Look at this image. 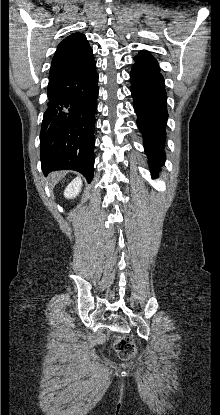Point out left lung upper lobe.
Segmentation results:
<instances>
[{
    "mask_svg": "<svg viewBox=\"0 0 220 415\" xmlns=\"http://www.w3.org/2000/svg\"><path fill=\"white\" fill-rule=\"evenodd\" d=\"M138 55H149V56H152L147 51H141Z\"/></svg>",
    "mask_w": 220,
    "mask_h": 415,
    "instance_id": "1",
    "label": "left lung upper lobe"
}]
</instances>
